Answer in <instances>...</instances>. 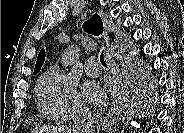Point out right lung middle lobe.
<instances>
[{
  "label": "right lung middle lobe",
  "mask_w": 184,
  "mask_h": 133,
  "mask_svg": "<svg viewBox=\"0 0 184 133\" xmlns=\"http://www.w3.org/2000/svg\"><path fill=\"white\" fill-rule=\"evenodd\" d=\"M131 80L138 82L139 80H142V72L139 71L138 69H132L130 70V76Z\"/></svg>",
  "instance_id": "dd1d6c3e"
}]
</instances>
